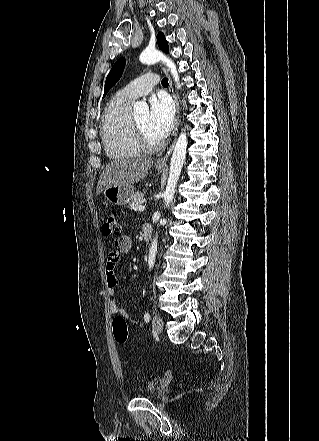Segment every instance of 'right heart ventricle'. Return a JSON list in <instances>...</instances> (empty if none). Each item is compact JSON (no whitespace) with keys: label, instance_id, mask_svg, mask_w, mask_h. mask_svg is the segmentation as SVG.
I'll use <instances>...</instances> for the list:
<instances>
[{"label":"right heart ventricle","instance_id":"obj_1","mask_svg":"<svg viewBox=\"0 0 319 441\" xmlns=\"http://www.w3.org/2000/svg\"><path fill=\"white\" fill-rule=\"evenodd\" d=\"M132 103L117 94L105 108L100 131L105 151L112 159L136 157L142 152L134 136Z\"/></svg>","mask_w":319,"mask_h":441}]
</instances>
